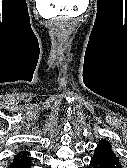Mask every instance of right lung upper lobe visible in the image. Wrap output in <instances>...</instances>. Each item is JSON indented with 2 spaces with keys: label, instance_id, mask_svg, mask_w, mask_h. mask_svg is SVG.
<instances>
[{
  "label": "right lung upper lobe",
  "instance_id": "1",
  "mask_svg": "<svg viewBox=\"0 0 127 168\" xmlns=\"http://www.w3.org/2000/svg\"><path fill=\"white\" fill-rule=\"evenodd\" d=\"M22 156H25L24 152H23V155H21V154L17 155V157H22Z\"/></svg>",
  "mask_w": 127,
  "mask_h": 168
}]
</instances>
